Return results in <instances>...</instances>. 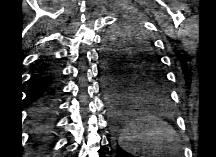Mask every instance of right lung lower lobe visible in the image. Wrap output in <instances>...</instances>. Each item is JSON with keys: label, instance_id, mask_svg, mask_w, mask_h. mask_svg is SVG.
Masks as SVG:
<instances>
[{"label": "right lung lower lobe", "instance_id": "obj_1", "mask_svg": "<svg viewBox=\"0 0 216 157\" xmlns=\"http://www.w3.org/2000/svg\"><path fill=\"white\" fill-rule=\"evenodd\" d=\"M30 94L33 103V140L38 150L44 151L47 148L53 130L52 125L57 95L54 70L49 64L45 62L40 64L37 73L33 77Z\"/></svg>", "mask_w": 216, "mask_h": 157}]
</instances>
